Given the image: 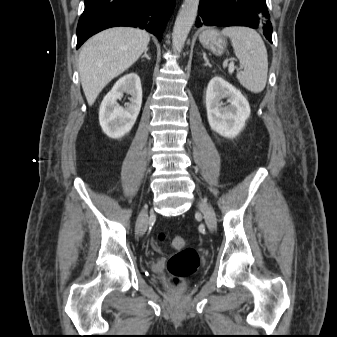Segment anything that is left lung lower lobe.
<instances>
[{
    "label": "left lung lower lobe",
    "instance_id": "0a47b994",
    "mask_svg": "<svg viewBox=\"0 0 337 337\" xmlns=\"http://www.w3.org/2000/svg\"><path fill=\"white\" fill-rule=\"evenodd\" d=\"M198 13L196 27H259L272 43V24L266 0H200Z\"/></svg>",
    "mask_w": 337,
    "mask_h": 337
}]
</instances>
